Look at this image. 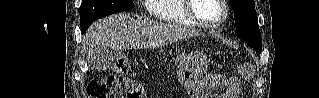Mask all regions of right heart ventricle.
Returning <instances> with one entry per match:
<instances>
[{"instance_id":"right-heart-ventricle-1","label":"right heart ventricle","mask_w":319,"mask_h":98,"mask_svg":"<svg viewBox=\"0 0 319 98\" xmlns=\"http://www.w3.org/2000/svg\"><path fill=\"white\" fill-rule=\"evenodd\" d=\"M147 7L151 16L157 20L195 27L187 17L184 0H147Z\"/></svg>"}]
</instances>
